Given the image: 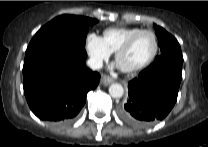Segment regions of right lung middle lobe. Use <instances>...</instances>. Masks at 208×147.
Here are the masks:
<instances>
[{"instance_id":"obj_1","label":"right lung middle lobe","mask_w":208,"mask_h":147,"mask_svg":"<svg viewBox=\"0 0 208 147\" xmlns=\"http://www.w3.org/2000/svg\"><path fill=\"white\" fill-rule=\"evenodd\" d=\"M95 23H97L96 19L64 14L54 18L40 28V30L30 41V44L46 40L57 35H66L85 45V39L89 28Z\"/></svg>"}]
</instances>
